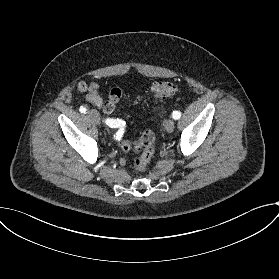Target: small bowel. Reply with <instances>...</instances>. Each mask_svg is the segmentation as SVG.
Segmentation results:
<instances>
[{
	"mask_svg": "<svg viewBox=\"0 0 279 279\" xmlns=\"http://www.w3.org/2000/svg\"><path fill=\"white\" fill-rule=\"evenodd\" d=\"M78 88L84 94L87 102L95 105L96 107H101L103 98L100 92V86L96 82H82L78 85Z\"/></svg>",
	"mask_w": 279,
	"mask_h": 279,
	"instance_id": "c3829d8e",
	"label": "small bowel"
}]
</instances>
